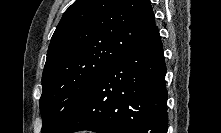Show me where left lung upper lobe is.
<instances>
[{
    "label": "left lung upper lobe",
    "mask_w": 221,
    "mask_h": 133,
    "mask_svg": "<svg viewBox=\"0 0 221 133\" xmlns=\"http://www.w3.org/2000/svg\"><path fill=\"white\" fill-rule=\"evenodd\" d=\"M150 0H76L50 42L42 76L41 133H57L104 70L155 24Z\"/></svg>",
    "instance_id": "5c2ea615"
}]
</instances>
